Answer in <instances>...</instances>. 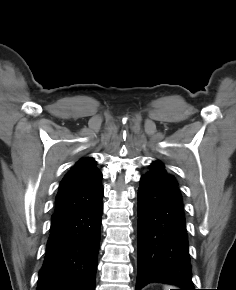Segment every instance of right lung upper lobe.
Returning a JSON list of instances; mask_svg holds the SVG:
<instances>
[{"label": "right lung upper lobe", "mask_w": 236, "mask_h": 290, "mask_svg": "<svg viewBox=\"0 0 236 290\" xmlns=\"http://www.w3.org/2000/svg\"><path fill=\"white\" fill-rule=\"evenodd\" d=\"M102 173L91 157L80 159L62 179L52 219L82 208L103 194Z\"/></svg>", "instance_id": "cb5924a9"}]
</instances>
